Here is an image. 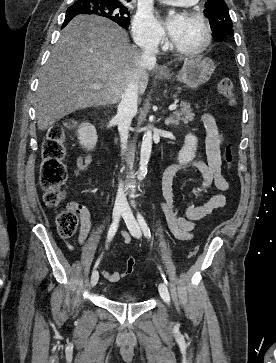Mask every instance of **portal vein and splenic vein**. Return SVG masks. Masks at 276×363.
<instances>
[{"label": "portal vein and splenic vein", "mask_w": 276, "mask_h": 363, "mask_svg": "<svg viewBox=\"0 0 276 363\" xmlns=\"http://www.w3.org/2000/svg\"><path fill=\"white\" fill-rule=\"evenodd\" d=\"M90 88L95 89V90H98V89H101L102 88V85L101 84H94V85L90 86ZM176 108H177V105L176 104H172V105L169 106L168 109L170 111H173Z\"/></svg>", "instance_id": "18ae733b"}]
</instances>
